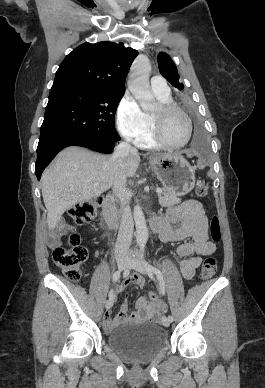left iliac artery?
I'll return each mask as SVG.
<instances>
[{
	"label": "left iliac artery",
	"instance_id": "left-iliac-artery-1",
	"mask_svg": "<svg viewBox=\"0 0 265 388\" xmlns=\"http://www.w3.org/2000/svg\"><path fill=\"white\" fill-rule=\"evenodd\" d=\"M141 249L143 251L144 247H142ZM145 265H146V269L148 272L154 273L156 275L157 279L159 280L160 291H161L162 295H164L165 294V283H164L162 272L160 271V269H158L157 267H155L153 265H150L147 262H145ZM168 319L170 322L173 321V317L171 315L168 316Z\"/></svg>",
	"mask_w": 265,
	"mask_h": 388
}]
</instances>
